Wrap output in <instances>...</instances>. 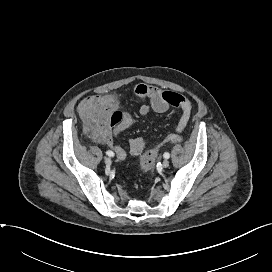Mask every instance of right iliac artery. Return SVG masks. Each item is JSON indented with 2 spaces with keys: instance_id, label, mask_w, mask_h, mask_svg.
I'll use <instances>...</instances> for the list:
<instances>
[{
  "instance_id": "1",
  "label": "right iliac artery",
  "mask_w": 272,
  "mask_h": 272,
  "mask_svg": "<svg viewBox=\"0 0 272 272\" xmlns=\"http://www.w3.org/2000/svg\"><path fill=\"white\" fill-rule=\"evenodd\" d=\"M106 154H107L108 156H110V157H113V156H114V152H113V151H110V150H108V151L106 152Z\"/></svg>"
}]
</instances>
